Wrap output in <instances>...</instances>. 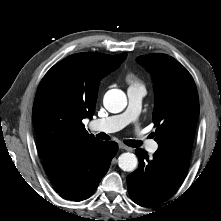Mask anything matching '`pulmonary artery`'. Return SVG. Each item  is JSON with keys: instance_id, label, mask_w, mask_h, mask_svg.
<instances>
[{"instance_id": "pulmonary-artery-1", "label": "pulmonary artery", "mask_w": 221, "mask_h": 221, "mask_svg": "<svg viewBox=\"0 0 221 221\" xmlns=\"http://www.w3.org/2000/svg\"><path fill=\"white\" fill-rule=\"evenodd\" d=\"M145 92V88L141 85L130 86L127 89L128 106L126 110L117 115L92 121L90 124L91 129L105 133H112L135 122L139 116ZM140 142L145 144L149 152L154 153L158 149V144L154 140L149 139L145 134L141 135Z\"/></svg>"}]
</instances>
